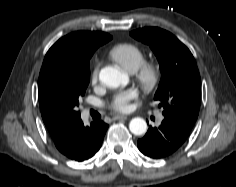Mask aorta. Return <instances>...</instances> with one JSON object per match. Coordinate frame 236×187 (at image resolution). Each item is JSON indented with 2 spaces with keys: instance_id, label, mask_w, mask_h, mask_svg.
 Returning a JSON list of instances; mask_svg holds the SVG:
<instances>
[{
  "instance_id": "762f6f07",
  "label": "aorta",
  "mask_w": 236,
  "mask_h": 187,
  "mask_svg": "<svg viewBox=\"0 0 236 187\" xmlns=\"http://www.w3.org/2000/svg\"><path fill=\"white\" fill-rule=\"evenodd\" d=\"M99 79L103 84L111 88L126 86L129 82L126 74L111 66L101 69ZM129 129L134 135H143L147 131V123L142 118H133L129 123Z\"/></svg>"
}]
</instances>
